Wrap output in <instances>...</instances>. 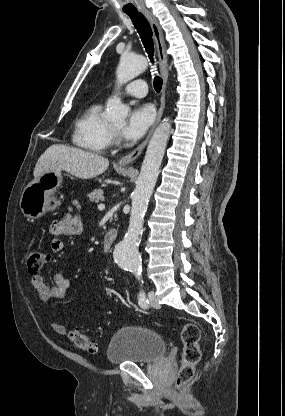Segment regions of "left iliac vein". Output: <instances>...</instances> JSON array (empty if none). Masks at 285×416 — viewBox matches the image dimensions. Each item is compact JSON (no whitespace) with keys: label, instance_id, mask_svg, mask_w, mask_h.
Masks as SVG:
<instances>
[{"label":"left iliac vein","instance_id":"1","mask_svg":"<svg viewBox=\"0 0 285 416\" xmlns=\"http://www.w3.org/2000/svg\"><path fill=\"white\" fill-rule=\"evenodd\" d=\"M148 297H149V301H150L151 306L155 309H160V307H161L160 303L158 302V299L155 296L153 291H150L148 293Z\"/></svg>","mask_w":285,"mask_h":416}]
</instances>
